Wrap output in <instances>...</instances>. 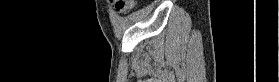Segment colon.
I'll list each match as a JSON object with an SVG mask.
<instances>
[{
	"label": "colon",
	"instance_id": "5ec220e1",
	"mask_svg": "<svg viewBox=\"0 0 279 82\" xmlns=\"http://www.w3.org/2000/svg\"><path fill=\"white\" fill-rule=\"evenodd\" d=\"M113 4H123L127 7H133L134 5L137 4V0H124V1H117V0H110Z\"/></svg>",
	"mask_w": 279,
	"mask_h": 82
}]
</instances>
